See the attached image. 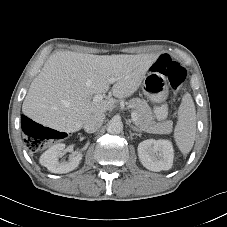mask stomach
<instances>
[{
    "label": "stomach",
    "mask_w": 227,
    "mask_h": 227,
    "mask_svg": "<svg viewBox=\"0 0 227 227\" xmlns=\"http://www.w3.org/2000/svg\"><path fill=\"white\" fill-rule=\"evenodd\" d=\"M142 91L144 95L154 103L165 101L168 96V85L164 76L159 72L150 71L143 80Z\"/></svg>",
    "instance_id": "1"
}]
</instances>
